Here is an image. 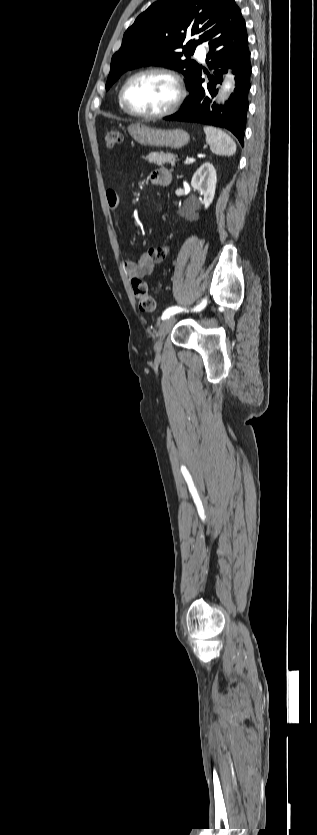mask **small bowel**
Listing matches in <instances>:
<instances>
[{
    "instance_id": "small-bowel-1",
    "label": "small bowel",
    "mask_w": 317,
    "mask_h": 835,
    "mask_svg": "<svg viewBox=\"0 0 317 835\" xmlns=\"http://www.w3.org/2000/svg\"><path fill=\"white\" fill-rule=\"evenodd\" d=\"M149 178L151 182L157 186H167L172 182V174L166 168H157L153 170ZM106 201L111 211H117L119 208V197L116 191L109 189L106 191ZM157 262L152 258L148 252H145L139 259H125L123 264L125 271L129 278L142 279L152 274Z\"/></svg>"
}]
</instances>
